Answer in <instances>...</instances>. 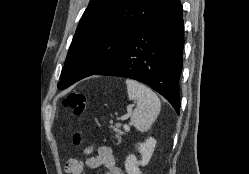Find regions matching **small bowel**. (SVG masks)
I'll list each match as a JSON object with an SVG mask.
<instances>
[{
    "label": "small bowel",
    "instance_id": "c3829d8e",
    "mask_svg": "<svg viewBox=\"0 0 249 174\" xmlns=\"http://www.w3.org/2000/svg\"><path fill=\"white\" fill-rule=\"evenodd\" d=\"M96 149V155L90 156ZM83 153L88 157L84 160L72 158L65 165L67 174H82L86 169H96L100 166L106 168V174H124L123 170L116 165L113 151L108 146H89Z\"/></svg>",
    "mask_w": 249,
    "mask_h": 174
}]
</instances>
